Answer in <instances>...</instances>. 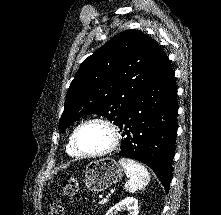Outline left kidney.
I'll list each match as a JSON object with an SVG mask.
<instances>
[{
    "mask_svg": "<svg viewBox=\"0 0 221 215\" xmlns=\"http://www.w3.org/2000/svg\"><path fill=\"white\" fill-rule=\"evenodd\" d=\"M127 210L128 215H138V201L133 197H127L115 206L111 207L106 215H116L119 211Z\"/></svg>",
    "mask_w": 221,
    "mask_h": 215,
    "instance_id": "5707ae66",
    "label": "left kidney"
}]
</instances>
